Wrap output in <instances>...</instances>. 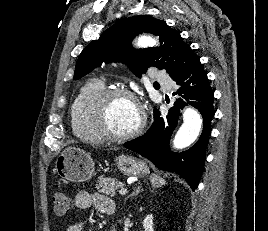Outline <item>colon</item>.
<instances>
[{
    "label": "colon",
    "mask_w": 268,
    "mask_h": 231,
    "mask_svg": "<svg viewBox=\"0 0 268 231\" xmlns=\"http://www.w3.org/2000/svg\"><path fill=\"white\" fill-rule=\"evenodd\" d=\"M70 199L63 192H57L53 196L54 212L57 215L65 214L70 208Z\"/></svg>",
    "instance_id": "obj_1"
}]
</instances>
